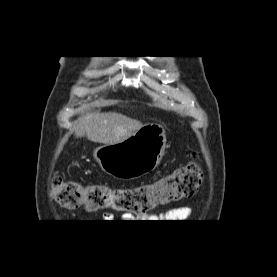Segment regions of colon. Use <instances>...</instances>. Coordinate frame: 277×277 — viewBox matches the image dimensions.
Wrapping results in <instances>:
<instances>
[{
	"instance_id": "5ec220e1",
	"label": "colon",
	"mask_w": 277,
	"mask_h": 277,
	"mask_svg": "<svg viewBox=\"0 0 277 277\" xmlns=\"http://www.w3.org/2000/svg\"><path fill=\"white\" fill-rule=\"evenodd\" d=\"M202 179V169L193 161L153 183L137 187L84 185L54 176L51 190L54 200L69 209L81 207L88 211L111 209L144 215L157 206L191 197L197 191Z\"/></svg>"
}]
</instances>
